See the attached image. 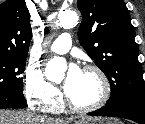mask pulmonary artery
<instances>
[{
	"label": "pulmonary artery",
	"mask_w": 145,
	"mask_h": 124,
	"mask_svg": "<svg viewBox=\"0 0 145 124\" xmlns=\"http://www.w3.org/2000/svg\"><path fill=\"white\" fill-rule=\"evenodd\" d=\"M72 44V38L69 34L60 35L50 46L52 52L56 54H65L67 53Z\"/></svg>",
	"instance_id": "pulmonary-artery-1"
}]
</instances>
